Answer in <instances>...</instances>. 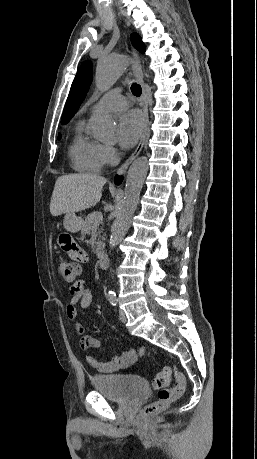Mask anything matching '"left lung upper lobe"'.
I'll return each instance as SVG.
<instances>
[{
  "mask_svg": "<svg viewBox=\"0 0 257 459\" xmlns=\"http://www.w3.org/2000/svg\"><path fill=\"white\" fill-rule=\"evenodd\" d=\"M133 46L141 53L145 52V46L136 33L131 35ZM92 80V62L85 61L80 66L70 89L62 115V123H68L84 100Z\"/></svg>",
  "mask_w": 257,
  "mask_h": 459,
  "instance_id": "left-lung-upper-lobe-1",
  "label": "left lung upper lobe"
}]
</instances>
